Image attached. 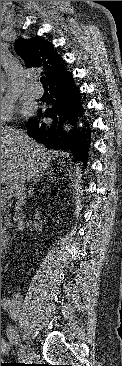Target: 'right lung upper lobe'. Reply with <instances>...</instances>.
I'll list each match as a JSON object with an SVG mask.
<instances>
[{"mask_svg":"<svg viewBox=\"0 0 122 366\" xmlns=\"http://www.w3.org/2000/svg\"><path fill=\"white\" fill-rule=\"evenodd\" d=\"M16 50L27 62L28 67H40L45 70L49 85L63 82L70 76L63 60L51 43L36 36L29 40L18 39Z\"/></svg>","mask_w":122,"mask_h":366,"instance_id":"cb5924a9","label":"right lung upper lobe"}]
</instances>
